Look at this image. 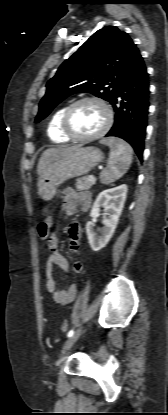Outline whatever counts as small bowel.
<instances>
[{
    "label": "small bowel",
    "instance_id": "small-bowel-1",
    "mask_svg": "<svg viewBox=\"0 0 168 415\" xmlns=\"http://www.w3.org/2000/svg\"><path fill=\"white\" fill-rule=\"evenodd\" d=\"M63 206L62 210L65 215L72 214L77 208L87 211L91 204V197L87 192H78L72 188H66L61 194ZM51 227V226H50ZM67 232L70 237L71 248L76 251L79 248L81 240V228L77 222H71L67 226ZM50 255L46 259L43 270L46 278L47 291L52 295L55 303L65 306L70 304L77 293V285H71L67 290H59L53 276L54 266L59 267L65 272L69 271L68 260L59 252L58 239L54 234L49 233L46 238ZM73 268L76 272H82L85 266L82 262L74 263Z\"/></svg>",
    "mask_w": 168,
    "mask_h": 415
}]
</instances>
